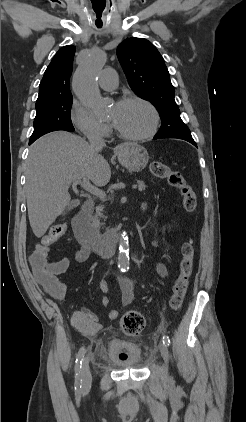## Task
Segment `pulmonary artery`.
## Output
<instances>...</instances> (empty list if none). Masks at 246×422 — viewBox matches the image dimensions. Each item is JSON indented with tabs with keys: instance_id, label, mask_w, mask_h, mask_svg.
Listing matches in <instances>:
<instances>
[{
	"instance_id": "e3ab8cb5",
	"label": "pulmonary artery",
	"mask_w": 246,
	"mask_h": 422,
	"mask_svg": "<svg viewBox=\"0 0 246 422\" xmlns=\"http://www.w3.org/2000/svg\"><path fill=\"white\" fill-rule=\"evenodd\" d=\"M98 84L102 89L112 90L117 87V74L112 68L104 69L98 78Z\"/></svg>"
}]
</instances>
